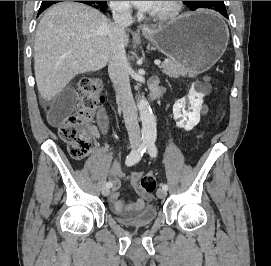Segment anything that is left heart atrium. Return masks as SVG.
Returning a JSON list of instances; mask_svg holds the SVG:
<instances>
[{"instance_id": "39dd6f15", "label": "left heart atrium", "mask_w": 271, "mask_h": 266, "mask_svg": "<svg viewBox=\"0 0 271 266\" xmlns=\"http://www.w3.org/2000/svg\"><path fill=\"white\" fill-rule=\"evenodd\" d=\"M158 1H131V3L140 10L151 11Z\"/></svg>"}]
</instances>
